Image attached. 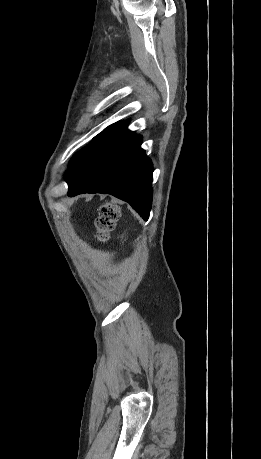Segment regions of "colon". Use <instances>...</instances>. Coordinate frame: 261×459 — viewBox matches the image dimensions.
I'll return each mask as SVG.
<instances>
[{"mask_svg": "<svg viewBox=\"0 0 261 459\" xmlns=\"http://www.w3.org/2000/svg\"><path fill=\"white\" fill-rule=\"evenodd\" d=\"M120 217V208L112 202H105L101 205L96 218L97 236L101 242L109 239L110 232L114 229Z\"/></svg>", "mask_w": 261, "mask_h": 459, "instance_id": "1", "label": "colon"}]
</instances>
